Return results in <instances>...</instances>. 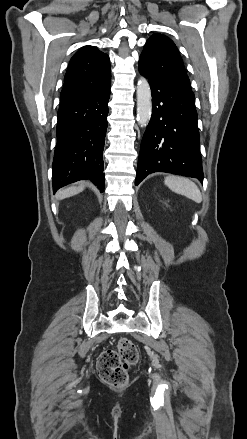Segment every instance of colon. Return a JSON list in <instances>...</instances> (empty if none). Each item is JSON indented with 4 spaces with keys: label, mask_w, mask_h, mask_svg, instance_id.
I'll return each instance as SVG.
<instances>
[{
    "label": "colon",
    "mask_w": 247,
    "mask_h": 439,
    "mask_svg": "<svg viewBox=\"0 0 247 439\" xmlns=\"http://www.w3.org/2000/svg\"><path fill=\"white\" fill-rule=\"evenodd\" d=\"M139 359L133 342L127 338L119 340L117 349H108L101 353L97 362L100 378L112 387H122L128 381L129 369Z\"/></svg>",
    "instance_id": "colon-1"
}]
</instances>
